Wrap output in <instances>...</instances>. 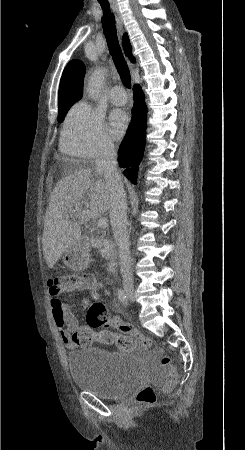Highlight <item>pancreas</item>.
<instances>
[{
    "instance_id": "pancreas-1",
    "label": "pancreas",
    "mask_w": 245,
    "mask_h": 450,
    "mask_svg": "<svg viewBox=\"0 0 245 450\" xmlns=\"http://www.w3.org/2000/svg\"><path fill=\"white\" fill-rule=\"evenodd\" d=\"M101 253L105 256V258L108 257V252L105 249H101Z\"/></svg>"
}]
</instances>
